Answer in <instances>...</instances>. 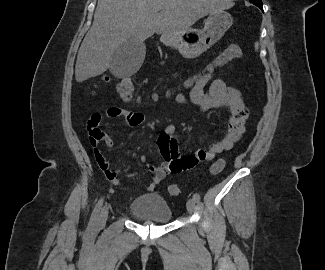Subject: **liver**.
Masks as SVG:
<instances>
[{
	"label": "liver",
	"mask_w": 325,
	"mask_h": 270,
	"mask_svg": "<svg viewBox=\"0 0 325 270\" xmlns=\"http://www.w3.org/2000/svg\"><path fill=\"white\" fill-rule=\"evenodd\" d=\"M232 6L231 0H98L78 51L76 81L103 74L117 48L131 37L143 42L155 33L177 36L205 15Z\"/></svg>",
	"instance_id": "6515ba94"
}]
</instances>
